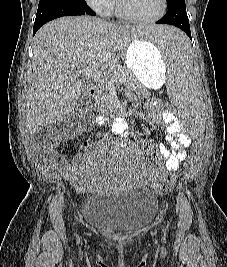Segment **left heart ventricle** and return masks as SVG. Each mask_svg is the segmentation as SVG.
I'll use <instances>...</instances> for the list:
<instances>
[{"label": "left heart ventricle", "instance_id": "left-heart-ventricle-1", "mask_svg": "<svg viewBox=\"0 0 227 267\" xmlns=\"http://www.w3.org/2000/svg\"><path fill=\"white\" fill-rule=\"evenodd\" d=\"M129 13L141 19H149L158 14L161 0H123Z\"/></svg>", "mask_w": 227, "mask_h": 267}]
</instances>
